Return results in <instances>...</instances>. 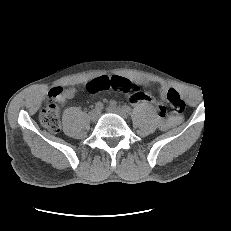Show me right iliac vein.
I'll use <instances>...</instances> for the list:
<instances>
[{
    "label": "right iliac vein",
    "instance_id": "right-iliac-vein-1",
    "mask_svg": "<svg viewBox=\"0 0 231 231\" xmlns=\"http://www.w3.org/2000/svg\"><path fill=\"white\" fill-rule=\"evenodd\" d=\"M99 114H100V112L97 111L96 109H94L89 113V117L92 121H96L99 117Z\"/></svg>",
    "mask_w": 231,
    "mask_h": 231
}]
</instances>
